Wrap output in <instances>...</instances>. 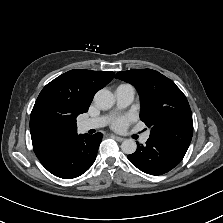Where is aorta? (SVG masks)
<instances>
[{"instance_id":"1","label":"aorta","mask_w":223,"mask_h":223,"mask_svg":"<svg viewBox=\"0 0 223 223\" xmlns=\"http://www.w3.org/2000/svg\"><path fill=\"white\" fill-rule=\"evenodd\" d=\"M94 102L98 108L108 110L114 105L115 99L113 93L104 88L95 94ZM136 148L137 145L133 139H126L121 144V149L125 154H133Z\"/></svg>"}]
</instances>
